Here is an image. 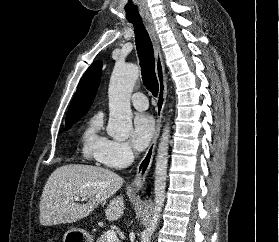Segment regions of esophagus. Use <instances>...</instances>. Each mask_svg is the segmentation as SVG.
I'll use <instances>...</instances> for the list:
<instances>
[{
	"instance_id": "esophagus-1",
	"label": "esophagus",
	"mask_w": 279,
	"mask_h": 242,
	"mask_svg": "<svg viewBox=\"0 0 279 242\" xmlns=\"http://www.w3.org/2000/svg\"><path fill=\"white\" fill-rule=\"evenodd\" d=\"M145 26L150 34V37L154 45L155 71L159 83V91H158L157 104H156L157 119H156L155 133L146 153L144 154L143 158L141 159V161L137 166L135 178L130 185V189L135 192H138L143 187L148 172L150 170L154 153H155L157 139L160 134L163 110H164L166 97H167V85H166V78H165L164 62H163L162 52L160 49L158 35L154 23L152 21H145Z\"/></svg>"
}]
</instances>
